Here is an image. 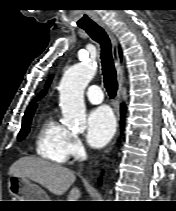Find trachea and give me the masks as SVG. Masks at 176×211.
I'll return each instance as SVG.
<instances>
[{
  "mask_svg": "<svg viewBox=\"0 0 176 211\" xmlns=\"http://www.w3.org/2000/svg\"><path fill=\"white\" fill-rule=\"evenodd\" d=\"M87 34L101 46L102 71L104 86L110 98H114L118 89L117 73L111 55V43L108 35L102 27L97 24L82 27Z\"/></svg>",
  "mask_w": 176,
  "mask_h": 211,
  "instance_id": "3493384b",
  "label": "trachea"
}]
</instances>
